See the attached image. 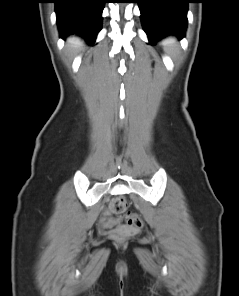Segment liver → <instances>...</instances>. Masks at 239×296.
Wrapping results in <instances>:
<instances>
[{
    "label": "liver",
    "instance_id": "1",
    "mask_svg": "<svg viewBox=\"0 0 239 296\" xmlns=\"http://www.w3.org/2000/svg\"><path fill=\"white\" fill-rule=\"evenodd\" d=\"M67 46L71 50H78L83 47V42L78 37H70Z\"/></svg>",
    "mask_w": 239,
    "mask_h": 296
}]
</instances>
